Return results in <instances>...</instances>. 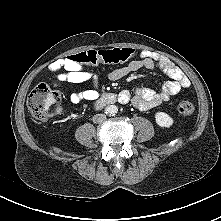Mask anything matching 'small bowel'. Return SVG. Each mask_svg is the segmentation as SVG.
<instances>
[{
  "instance_id": "obj_1",
  "label": "small bowel",
  "mask_w": 221,
  "mask_h": 221,
  "mask_svg": "<svg viewBox=\"0 0 221 221\" xmlns=\"http://www.w3.org/2000/svg\"><path fill=\"white\" fill-rule=\"evenodd\" d=\"M50 69L56 74L55 80L53 81L54 86H61L64 83L76 84L86 81L92 83L93 86L90 89L73 92L70 95L71 103L92 102L100 97L98 89L99 78L96 74L85 71L81 66L71 63L68 59L54 61ZM140 69H158L170 78V80L164 82L157 91L147 87H140L132 93L129 91H122L120 93L122 102H130L135 108L140 110L152 109L164 103L182 89L190 86V80L178 66L167 57L151 51H142L137 59L109 71L107 77L111 81H117Z\"/></svg>"
}]
</instances>
